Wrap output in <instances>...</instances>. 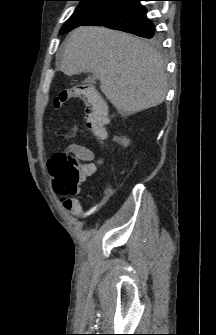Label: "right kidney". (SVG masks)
<instances>
[{"mask_svg": "<svg viewBox=\"0 0 216 335\" xmlns=\"http://www.w3.org/2000/svg\"><path fill=\"white\" fill-rule=\"evenodd\" d=\"M114 141L118 142L119 144L123 145L124 147H127L130 144V140L126 137H115Z\"/></svg>", "mask_w": 216, "mask_h": 335, "instance_id": "obj_1", "label": "right kidney"}]
</instances>
